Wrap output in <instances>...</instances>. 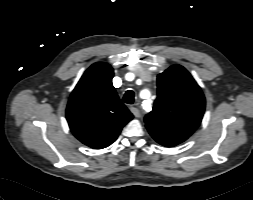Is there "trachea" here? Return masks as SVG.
<instances>
[{"mask_svg":"<svg viewBox=\"0 0 253 200\" xmlns=\"http://www.w3.org/2000/svg\"><path fill=\"white\" fill-rule=\"evenodd\" d=\"M134 92L131 90L126 91V93L123 96V101L127 104H133L135 100Z\"/></svg>","mask_w":253,"mask_h":200,"instance_id":"obj_1","label":"trachea"}]
</instances>
